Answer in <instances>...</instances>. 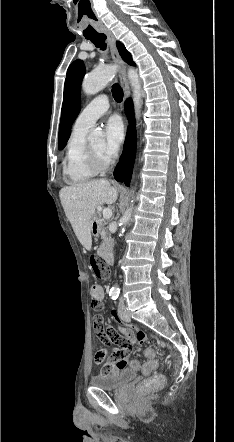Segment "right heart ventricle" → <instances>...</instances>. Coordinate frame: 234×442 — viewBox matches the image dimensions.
I'll return each mask as SVG.
<instances>
[{"label":"right heart ventricle","mask_w":234,"mask_h":442,"mask_svg":"<svg viewBox=\"0 0 234 442\" xmlns=\"http://www.w3.org/2000/svg\"><path fill=\"white\" fill-rule=\"evenodd\" d=\"M87 133L88 130L74 127L67 142L63 174L71 184L87 182L97 174L88 162Z\"/></svg>","instance_id":"1"}]
</instances>
